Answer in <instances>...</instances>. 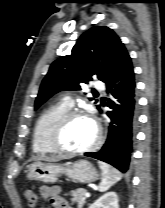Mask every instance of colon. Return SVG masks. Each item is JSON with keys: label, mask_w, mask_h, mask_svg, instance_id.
Instances as JSON below:
<instances>
[{"label": "colon", "mask_w": 165, "mask_h": 208, "mask_svg": "<svg viewBox=\"0 0 165 208\" xmlns=\"http://www.w3.org/2000/svg\"><path fill=\"white\" fill-rule=\"evenodd\" d=\"M25 198H26L28 206L30 207H35L38 203V196L32 190L25 191Z\"/></svg>", "instance_id": "obj_1"}]
</instances>
